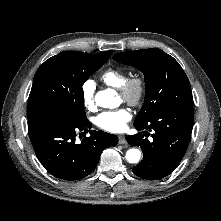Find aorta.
<instances>
[{
	"mask_svg": "<svg viewBox=\"0 0 221 221\" xmlns=\"http://www.w3.org/2000/svg\"><path fill=\"white\" fill-rule=\"evenodd\" d=\"M115 100H116L115 91L111 89L99 91L95 95L96 104L103 108H110L114 106ZM125 158L129 163L136 164L140 161L141 152L139 149L135 148L129 149L126 152Z\"/></svg>",
	"mask_w": 221,
	"mask_h": 221,
	"instance_id": "aorta-1",
	"label": "aorta"
}]
</instances>
